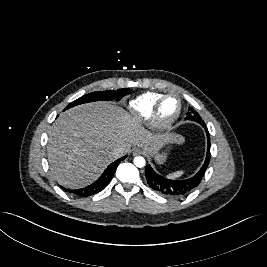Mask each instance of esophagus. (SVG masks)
<instances>
[{
  "label": "esophagus",
  "mask_w": 267,
  "mask_h": 267,
  "mask_svg": "<svg viewBox=\"0 0 267 267\" xmlns=\"http://www.w3.org/2000/svg\"><path fill=\"white\" fill-rule=\"evenodd\" d=\"M141 153H142V151H141V149H139V148H135V149L133 150V155H134V156L139 155V154H141Z\"/></svg>",
  "instance_id": "34e87169"
}]
</instances>
